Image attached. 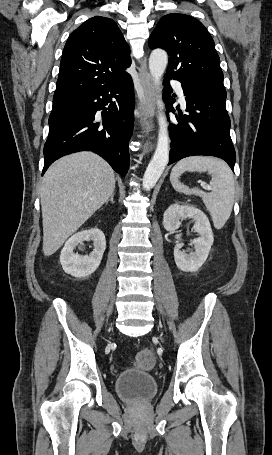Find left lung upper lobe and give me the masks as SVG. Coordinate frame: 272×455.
I'll list each match as a JSON object with an SVG mask.
<instances>
[{
	"label": "left lung upper lobe",
	"mask_w": 272,
	"mask_h": 455,
	"mask_svg": "<svg viewBox=\"0 0 272 455\" xmlns=\"http://www.w3.org/2000/svg\"><path fill=\"white\" fill-rule=\"evenodd\" d=\"M149 47L169 55L166 75L223 83V72L214 41L197 19L185 14L163 16L152 32Z\"/></svg>",
	"instance_id": "5c2ea615"
}]
</instances>
